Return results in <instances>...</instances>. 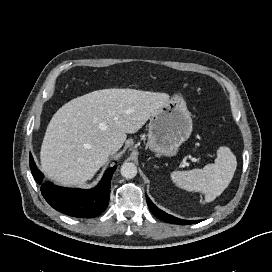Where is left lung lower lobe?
I'll list each match as a JSON object with an SVG mask.
<instances>
[{"instance_id": "left-lung-lower-lobe-1", "label": "left lung lower lobe", "mask_w": 272, "mask_h": 272, "mask_svg": "<svg viewBox=\"0 0 272 272\" xmlns=\"http://www.w3.org/2000/svg\"><path fill=\"white\" fill-rule=\"evenodd\" d=\"M147 204L150 209V211L160 220H163L168 223H174V224H179V225H188V224H195L200 222V220H182L179 218H176L174 216H171L159 208H157L149 199L148 196H146Z\"/></svg>"}]
</instances>
